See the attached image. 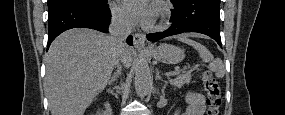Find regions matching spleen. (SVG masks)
I'll list each match as a JSON object with an SVG mask.
<instances>
[{"instance_id":"1","label":"spleen","mask_w":285,"mask_h":115,"mask_svg":"<svg viewBox=\"0 0 285 115\" xmlns=\"http://www.w3.org/2000/svg\"><path fill=\"white\" fill-rule=\"evenodd\" d=\"M181 42L186 43L196 49L203 62H209V69L215 73V76L222 78L225 75V66L220 58H214L211 52L202 44L181 36L178 38Z\"/></svg>"}]
</instances>
